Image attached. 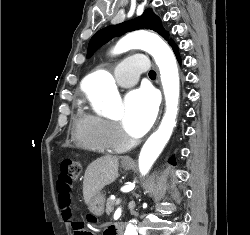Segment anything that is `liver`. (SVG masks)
<instances>
[{
	"mask_svg": "<svg viewBox=\"0 0 250 235\" xmlns=\"http://www.w3.org/2000/svg\"><path fill=\"white\" fill-rule=\"evenodd\" d=\"M119 158L103 156L93 161L86 169L83 181V197L89 206L93 196L118 178Z\"/></svg>",
	"mask_w": 250,
	"mask_h": 235,
	"instance_id": "obj_1",
	"label": "liver"
}]
</instances>
